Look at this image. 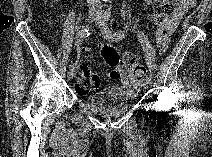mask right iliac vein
Here are the masks:
<instances>
[{
	"label": "right iliac vein",
	"instance_id": "1",
	"mask_svg": "<svg viewBox=\"0 0 212 157\" xmlns=\"http://www.w3.org/2000/svg\"><path fill=\"white\" fill-rule=\"evenodd\" d=\"M98 20V16L94 13H89L87 15V22H96ZM68 79L71 80L74 77V70H70L67 75Z\"/></svg>",
	"mask_w": 212,
	"mask_h": 157
}]
</instances>
